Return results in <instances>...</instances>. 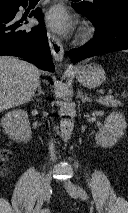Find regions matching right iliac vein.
<instances>
[{
	"label": "right iliac vein",
	"instance_id": "obj_1",
	"mask_svg": "<svg viewBox=\"0 0 128 213\" xmlns=\"http://www.w3.org/2000/svg\"><path fill=\"white\" fill-rule=\"evenodd\" d=\"M50 188H51V171H49L45 175V177L42 179L38 203H37L33 213H41V208H42L43 202L49 198Z\"/></svg>",
	"mask_w": 128,
	"mask_h": 213
}]
</instances>
